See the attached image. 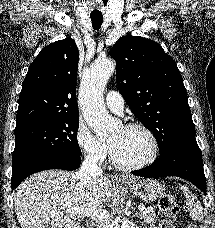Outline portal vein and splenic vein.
Instances as JSON below:
<instances>
[{"mask_svg":"<svg viewBox=\"0 0 215 228\" xmlns=\"http://www.w3.org/2000/svg\"><path fill=\"white\" fill-rule=\"evenodd\" d=\"M138 210H140V212H143V210H146V208L145 206H138ZM69 214H77V212H69ZM78 214H85V212H83V210H80ZM93 218H95V220H107V218H109V214L106 212V210H102V212H99V210H97V212H94Z\"/></svg>","mask_w":215,"mask_h":228,"instance_id":"18ae733b","label":"portal vein and splenic vein"}]
</instances>
